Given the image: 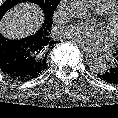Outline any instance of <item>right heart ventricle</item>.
<instances>
[{"label":"right heart ventricle","instance_id":"obj_1","mask_svg":"<svg viewBox=\"0 0 118 118\" xmlns=\"http://www.w3.org/2000/svg\"><path fill=\"white\" fill-rule=\"evenodd\" d=\"M92 8L99 12L105 13L116 6V0H90Z\"/></svg>","mask_w":118,"mask_h":118}]
</instances>
